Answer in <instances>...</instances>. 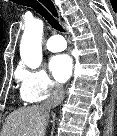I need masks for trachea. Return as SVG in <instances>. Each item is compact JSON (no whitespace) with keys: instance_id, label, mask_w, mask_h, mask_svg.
<instances>
[{"instance_id":"1","label":"trachea","mask_w":117,"mask_h":136,"mask_svg":"<svg viewBox=\"0 0 117 136\" xmlns=\"http://www.w3.org/2000/svg\"><path fill=\"white\" fill-rule=\"evenodd\" d=\"M19 4L28 6L33 8L37 13H39L42 17H44L47 22L57 31L65 32L63 27L59 24V22L54 18V16L50 13L52 12L50 7L46 4H44L47 9L50 10V12L37 0H17Z\"/></svg>"}]
</instances>
